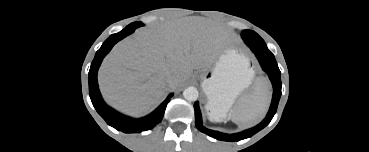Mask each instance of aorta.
I'll use <instances>...</instances> for the list:
<instances>
[{
	"label": "aorta",
	"instance_id": "obj_1",
	"mask_svg": "<svg viewBox=\"0 0 369 152\" xmlns=\"http://www.w3.org/2000/svg\"><path fill=\"white\" fill-rule=\"evenodd\" d=\"M198 90L195 87H188L183 91V96L188 101H196L198 99Z\"/></svg>",
	"mask_w": 369,
	"mask_h": 152
}]
</instances>
